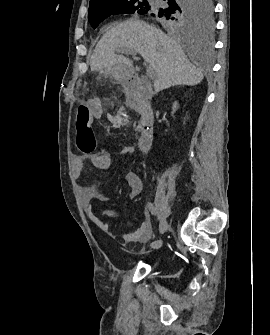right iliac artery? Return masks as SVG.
Returning <instances> with one entry per match:
<instances>
[{
  "label": "right iliac artery",
  "mask_w": 270,
  "mask_h": 335,
  "mask_svg": "<svg viewBox=\"0 0 270 335\" xmlns=\"http://www.w3.org/2000/svg\"><path fill=\"white\" fill-rule=\"evenodd\" d=\"M147 207H148V209L150 210V212L152 213V214H154V215H156V209H155V207L153 206V204L152 203H148L147 204ZM150 246L152 247V248H154V249H158V248H160L161 246H162V240H156V241H153L151 244H150Z\"/></svg>",
  "instance_id": "1"
}]
</instances>
